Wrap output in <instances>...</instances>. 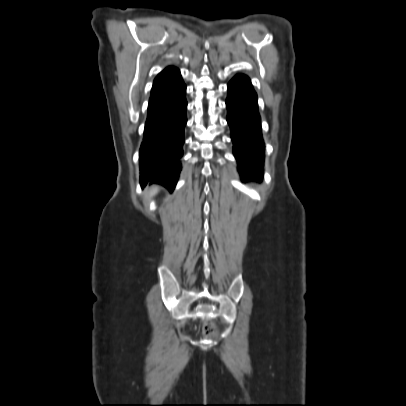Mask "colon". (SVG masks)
<instances>
[{
    "instance_id": "5ec220e1",
    "label": "colon",
    "mask_w": 406,
    "mask_h": 406,
    "mask_svg": "<svg viewBox=\"0 0 406 406\" xmlns=\"http://www.w3.org/2000/svg\"><path fill=\"white\" fill-rule=\"evenodd\" d=\"M201 333L204 336H210L212 333H214L215 331V326L212 322L208 321V320H204L201 323Z\"/></svg>"
}]
</instances>
